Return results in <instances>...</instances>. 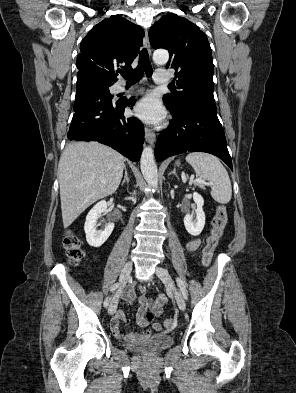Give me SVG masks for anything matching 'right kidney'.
<instances>
[{"mask_svg": "<svg viewBox=\"0 0 296 393\" xmlns=\"http://www.w3.org/2000/svg\"><path fill=\"white\" fill-rule=\"evenodd\" d=\"M106 211L107 202L102 200L90 210L86 217L84 231L86 234V240L92 247L98 248L102 246L114 229V223H108L103 231L96 230L97 219Z\"/></svg>", "mask_w": 296, "mask_h": 393, "instance_id": "1", "label": "right kidney"}]
</instances>
